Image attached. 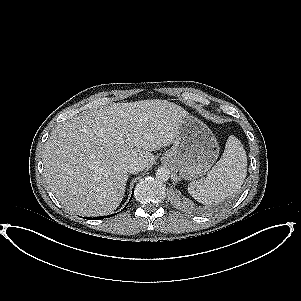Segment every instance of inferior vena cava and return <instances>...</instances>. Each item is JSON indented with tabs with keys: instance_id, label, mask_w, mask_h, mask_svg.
<instances>
[{
	"instance_id": "1",
	"label": "inferior vena cava",
	"mask_w": 301,
	"mask_h": 301,
	"mask_svg": "<svg viewBox=\"0 0 301 301\" xmlns=\"http://www.w3.org/2000/svg\"><path fill=\"white\" fill-rule=\"evenodd\" d=\"M126 168L129 173H136L142 171L144 169V166L137 162H131L127 165Z\"/></svg>"
}]
</instances>
